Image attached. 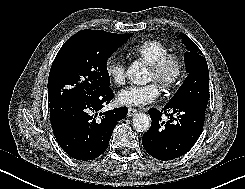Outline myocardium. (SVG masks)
<instances>
[{
    "instance_id": "obj_1",
    "label": "myocardium",
    "mask_w": 245,
    "mask_h": 189,
    "mask_svg": "<svg viewBox=\"0 0 245 189\" xmlns=\"http://www.w3.org/2000/svg\"><path fill=\"white\" fill-rule=\"evenodd\" d=\"M150 70L163 90L175 88L185 71L184 62L175 54H168L150 65ZM170 71V73H168Z\"/></svg>"
}]
</instances>
